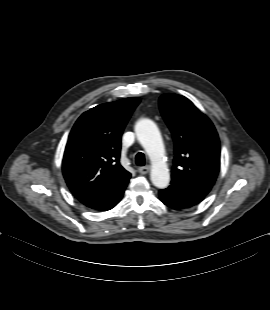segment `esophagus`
I'll return each instance as SVG.
<instances>
[{
	"instance_id": "1",
	"label": "esophagus",
	"mask_w": 270,
	"mask_h": 310,
	"mask_svg": "<svg viewBox=\"0 0 270 310\" xmlns=\"http://www.w3.org/2000/svg\"><path fill=\"white\" fill-rule=\"evenodd\" d=\"M138 172L142 175H145L150 172V167L149 166L140 167L138 169Z\"/></svg>"
}]
</instances>
